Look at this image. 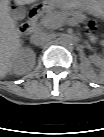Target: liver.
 <instances>
[{"label": "liver", "mask_w": 104, "mask_h": 137, "mask_svg": "<svg viewBox=\"0 0 104 137\" xmlns=\"http://www.w3.org/2000/svg\"><path fill=\"white\" fill-rule=\"evenodd\" d=\"M18 5H26L37 0H14ZM59 4H70L74 0H51ZM21 48L20 32L16 21L9 13L8 1L1 0L0 9V76L3 78L11 68L12 60Z\"/></svg>", "instance_id": "obj_1"}]
</instances>
